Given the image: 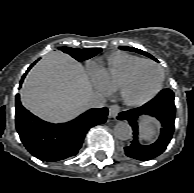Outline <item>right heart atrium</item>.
<instances>
[{"label": "right heart atrium", "instance_id": "obj_1", "mask_svg": "<svg viewBox=\"0 0 194 193\" xmlns=\"http://www.w3.org/2000/svg\"><path fill=\"white\" fill-rule=\"evenodd\" d=\"M86 72L90 80V84L96 92L107 94L111 91V87L104 81L94 63L89 62L87 64Z\"/></svg>", "mask_w": 194, "mask_h": 193}]
</instances>
